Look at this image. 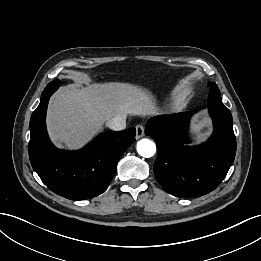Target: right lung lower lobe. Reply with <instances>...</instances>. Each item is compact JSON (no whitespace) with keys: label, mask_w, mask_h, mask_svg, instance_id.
<instances>
[{"label":"right lung lower lobe","mask_w":261,"mask_h":261,"mask_svg":"<svg viewBox=\"0 0 261 261\" xmlns=\"http://www.w3.org/2000/svg\"><path fill=\"white\" fill-rule=\"evenodd\" d=\"M59 84L49 83L30 119L29 158L33 169L54 193L71 200H84L103 193L116 166L135 141V128L97 136L80 151L57 149L50 141L45 124L50 96Z\"/></svg>","instance_id":"obj_1"}]
</instances>
